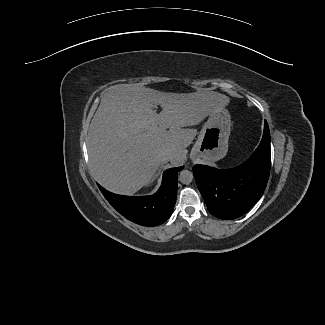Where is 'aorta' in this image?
I'll return each instance as SVG.
<instances>
[{
  "label": "aorta",
  "instance_id": "762f6f07",
  "mask_svg": "<svg viewBox=\"0 0 325 325\" xmlns=\"http://www.w3.org/2000/svg\"><path fill=\"white\" fill-rule=\"evenodd\" d=\"M193 178V173L189 170H182L179 174V180L183 184L191 183Z\"/></svg>",
  "mask_w": 325,
  "mask_h": 325
}]
</instances>
